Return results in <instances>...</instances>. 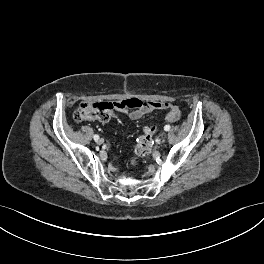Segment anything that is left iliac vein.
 Returning a JSON list of instances; mask_svg holds the SVG:
<instances>
[{"label": "left iliac vein", "mask_w": 264, "mask_h": 264, "mask_svg": "<svg viewBox=\"0 0 264 264\" xmlns=\"http://www.w3.org/2000/svg\"><path fill=\"white\" fill-rule=\"evenodd\" d=\"M167 140L166 139H161V144H166Z\"/></svg>", "instance_id": "obj_1"}]
</instances>
